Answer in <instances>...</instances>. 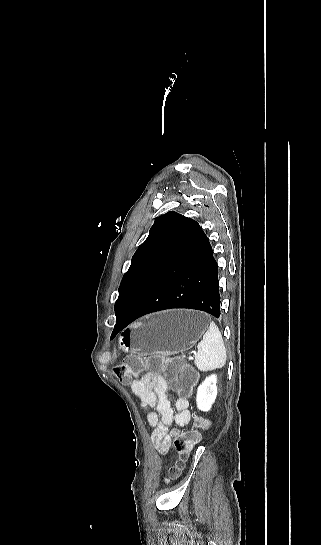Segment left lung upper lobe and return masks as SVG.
<instances>
[{
	"label": "left lung upper lobe",
	"instance_id": "obj_1",
	"mask_svg": "<svg viewBox=\"0 0 321 545\" xmlns=\"http://www.w3.org/2000/svg\"><path fill=\"white\" fill-rule=\"evenodd\" d=\"M190 218L168 212L155 219L146 241L138 247L125 273L115 303L117 315H127L151 279L163 266Z\"/></svg>",
	"mask_w": 321,
	"mask_h": 545
}]
</instances>
